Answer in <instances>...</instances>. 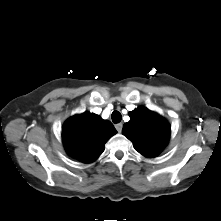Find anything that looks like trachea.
<instances>
[{
  "mask_svg": "<svg viewBox=\"0 0 221 221\" xmlns=\"http://www.w3.org/2000/svg\"><path fill=\"white\" fill-rule=\"evenodd\" d=\"M111 117L114 123H119L122 120V115L119 111H113Z\"/></svg>",
  "mask_w": 221,
  "mask_h": 221,
  "instance_id": "1",
  "label": "trachea"
}]
</instances>
